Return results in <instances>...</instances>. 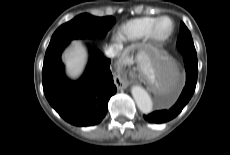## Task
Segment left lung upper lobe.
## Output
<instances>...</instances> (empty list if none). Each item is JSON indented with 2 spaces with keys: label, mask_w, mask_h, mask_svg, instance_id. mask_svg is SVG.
<instances>
[{
  "label": "left lung upper lobe",
  "mask_w": 230,
  "mask_h": 155,
  "mask_svg": "<svg viewBox=\"0 0 230 155\" xmlns=\"http://www.w3.org/2000/svg\"><path fill=\"white\" fill-rule=\"evenodd\" d=\"M177 48L181 53L195 51L191 33L183 22L180 25V36L177 41Z\"/></svg>",
  "instance_id": "5c2ea615"
}]
</instances>
